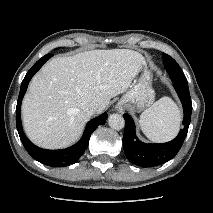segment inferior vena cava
<instances>
[{
  "mask_svg": "<svg viewBox=\"0 0 213 213\" xmlns=\"http://www.w3.org/2000/svg\"><path fill=\"white\" fill-rule=\"evenodd\" d=\"M86 112L90 115L100 112L99 105L97 103H91L87 106Z\"/></svg>",
  "mask_w": 213,
  "mask_h": 213,
  "instance_id": "obj_1",
  "label": "inferior vena cava"
}]
</instances>
